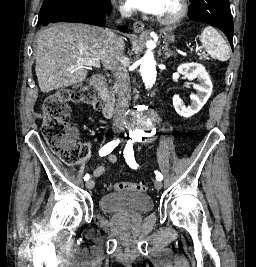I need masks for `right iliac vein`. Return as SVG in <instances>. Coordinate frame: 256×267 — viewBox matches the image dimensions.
<instances>
[{"label": "right iliac vein", "instance_id": "obj_1", "mask_svg": "<svg viewBox=\"0 0 256 267\" xmlns=\"http://www.w3.org/2000/svg\"><path fill=\"white\" fill-rule=\"evenodd\" d=\"M94 185H95L94 180H89L86 182V188L89 190H91L94 187Z\"/></svg>", "mask_w": 256, "mask_h": 267}]
</instances>
